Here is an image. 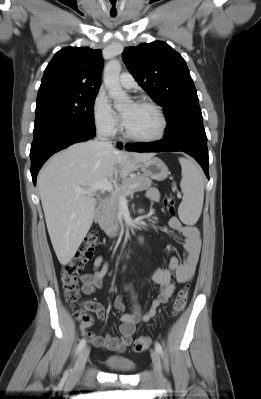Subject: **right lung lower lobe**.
Masks as SVG:
<instances>
[{"instance_id": "right-lung-lower-lobe-1", "label": "right lung lower lobe", "mask_w": 261, "mask_h": 399, "mask_svg": "<svg viewBox=\"0 0 261 399\" xmlns=\"http://www.w3.org/2000/svg\"><path fill=\"white\" fill-rule=\"evenodd\" d=\"M33 135L30 151L31 175L36 185L37 174L51 155L73 143L91 139L95 136V130H87L65 119H53L36 124ZM118 147L121 148V144Z\"/></svg>"}]
</instances>
